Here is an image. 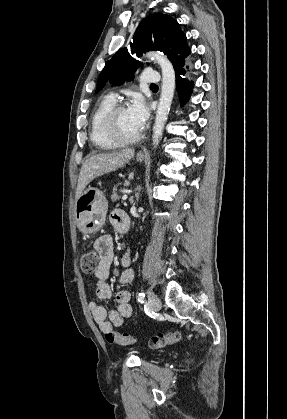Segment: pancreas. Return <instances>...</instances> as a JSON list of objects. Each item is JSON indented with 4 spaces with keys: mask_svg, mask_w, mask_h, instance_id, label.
<instances>
[{
    "mask_svg": "<svg viewBox=\"0 0 287 419\" xmlns=\"http://www.w3.org/2000/svg\"><path fill=\"white\" fill-rule=\"evenodd\" d=\"M119 185H120V184H117V185H116V186H114V188H113V194L111 195V200H112V201H116V200L120 199V196H119V194H118V191H120V189H119Z\"/></svg>",
    "mask_w": 287,
    "mask_h": 419,
    "instance_id": "pancreas-1",
    "label": "pancreas"
}]
</instances>
